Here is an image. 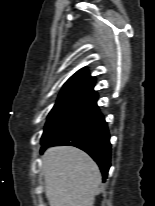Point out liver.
<instances>
[{"mask_svg": "<svg viewBox=\"0 0 155 206\" xmlns=\"http://www.w3.org/2000/svg\"><path fill=\"white\" fill-rule=\"evenodd\" d=\"M50 206H93L102 176L98 165L75 147H52L42 157Z\"/></svg>", "mask_w": 155, "mask_h": 206, "instance_id": "obj_1", "label": "liver"}]
</instances>
